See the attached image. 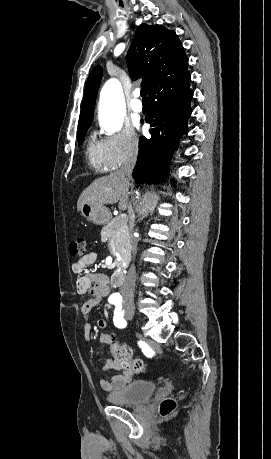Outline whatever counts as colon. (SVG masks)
Instances as JSON below:
<instances>
[{"mask_svg":"<svg viewBox=\"0 0 271 459\" xmlns=\"http://www.w3.org/2000/svg\"><path fill=\"white\" fill-rule=\"evenodd\" d=\"M86 250V242L83 237H78L70 243L69 251L73 256H82ZM111 338V352L116 360H118L122 366L135 373H143L145 371L144 362L139 358H133L132 350L127 345L118 344L115 341L114 335H109ZM176 408V401L173 398H167L163 400L159 407V412L162 416H169L174 412Z\"/></svg>","mask_w":271,"mask_h":459,"instance_id":"5ec220e1","label":"colon"}]
</instances>
